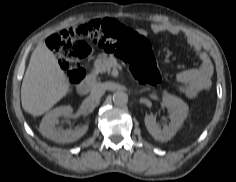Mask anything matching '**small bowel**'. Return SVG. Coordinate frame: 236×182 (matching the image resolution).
I'll return each instance as SVG.
<instances>
[{
  "label": "small bowel",
  "mask_w": 236,
  "mask_h": 182,
  "mask_svg": "<svg viewBox=\"0 0 236 182\" xmlns=\"http://www.w3.org/2000/svg\"><path fill=\"white\" fill-rule=\"evenodd\" d=\"M151 30L155 34L169 33L184 36L188 50L193 51L200 60L197 67L182 70L177 74L179 92L187 99H195L200 94L208 91L213 66L209 55L203 48L202 41L197 36L168 23H154L151 25Z\"/></svg>",
  "instance_id": "small-bowel-1"
}]
</instances>
